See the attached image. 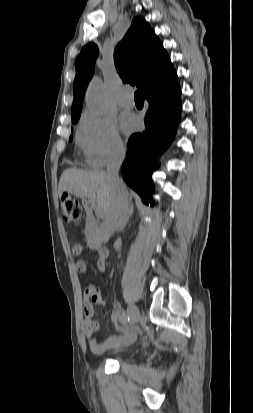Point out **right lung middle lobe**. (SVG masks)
Listing matches in <instances>:
<instances>
[{
    "label": "right lung middle lobe",
    "mask_w": 253,
    "mask_h": 413,
    "mask_svg": "<svg viewBox=\"0 0 253 413\" xmlns=\"http://www.w3.org/2000/svg\"><path fill=\"white\" fill-rule=\"evenodd\" d=\"M78 119H79V117L78 118H76V119H74V120H72V123H76L77 121H78ZM72 139V137H70V140Z\"/></svg>",
    "instance_id": "dd1d6c3e"
}]
</instances>
